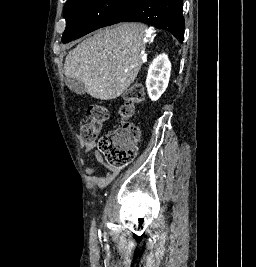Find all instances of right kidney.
<instances>
[{
	"instance_id": "ca27d5eb",
	"label": "right kidney",
	"mask_w": 256,
	"mask_h": 267,
	"mask_svg": "<svg viewBox=\"0 0 256 267\" xmlns=\"http://www.w3.org/2000/svg\"><path fill=\"white\" fill-rule=\"evenodd\" d=\"M171 62L166 54H160L152 64L147 74L146 88L152 102H157L164 94L170 78Z\"/></svg>"
}]
</instances>
